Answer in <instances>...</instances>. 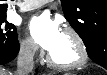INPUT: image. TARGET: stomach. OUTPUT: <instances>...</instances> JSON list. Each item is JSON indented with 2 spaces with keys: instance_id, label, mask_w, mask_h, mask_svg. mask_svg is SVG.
Instances as JSON below:
<instances>
[{
  "instance_id": "0dacf381",
  "label": "stomach",
  "mask_w": 107,
  "mask_h": 75,
  "mask_svg": "<svg viewBox=\"0 0 107 75\" xmlns=\"http://www.w3.org/2000/svg\"><path fill=\"white\" fill-rule=\"evenodd\" d=\"M65 75H74V74H65Z\"/></svg>"
}]
</instances>
